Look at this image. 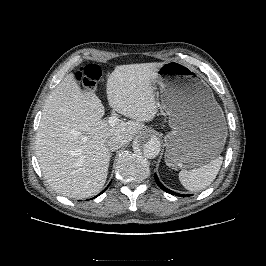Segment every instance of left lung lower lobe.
<instances>
[{
	"label": "left lung lower lobe",
	"mask_w": 266,
	"mask_h": 266,
	"mask_svg": "<svg viewBox=\"0 0 266 266\" xmlns=\"http://www.w3.org/2000/svg\"><path fill=\"white\" fill-rule=\"evenodd\" d=\"M154 177H155V181H156L157 185H158L162 190H164L165 192H167V193H169V194H172V195L176 194L177 196H182V197H185V196H186V195H184V194H178V193H175V192L169 190L168 188H166V187H165L164 185H162V183L159 181V179H158V177H157L156 174H154Z\"/></svg>",
	"instance_id": "left-lung-lower-lobe-1"
}]
</instances>
